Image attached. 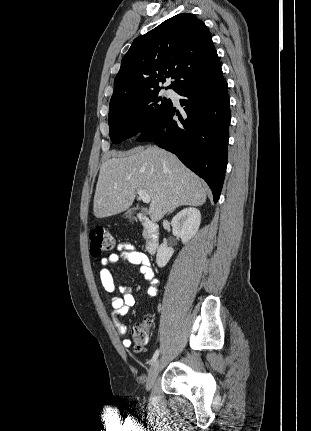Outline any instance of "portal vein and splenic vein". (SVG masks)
I'll list each match as a JSON object with an SVG mask.
<instances>
[{
	"mask_svg": "<svg viewBox=\"0 0 311 431\" xmlns=\"http://www.w3.org/2000/svg\"><path fill=\"white\" fill-rule=\"evenodd\" d=\"M138 194H139V198H141L142 202H144V204H149V202H151V198L149 196V194H147V192H145V190H137Z\"/></svg>",
	"mask_w": 311,
	"mask_h": 431,
	"instance_id": "obj_1",
	"label": "portal vein and splenic vein"
}]
</instances>
